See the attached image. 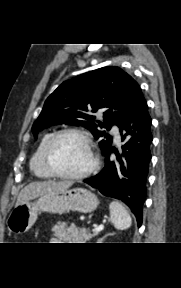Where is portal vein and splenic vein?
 <instances>
[{"label": "portal vein and splenic vein", "mask_w": 181, "mask_h": 288, "mask_svg": "<svg viewBox=\"0 0 181 288\" xmlns=\"http://www.w3.org/2000/svg\"><path fill=\"white\" fill-rule=\"evenodd\" d=\"M103 228H104V226H103V225H100V226L96 227L95 229H93V232H94V233H98V232L102 231Z\"/></svg>", "instance_id": "portal-vein-and-splenic-vein-1"}]
</instances>
